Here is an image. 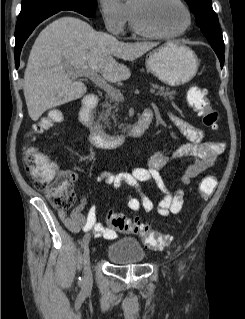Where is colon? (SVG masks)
<instances>
[{
  "label": "colon",
  "instance_id": "5ec220e1",
  "mask_svg": "<svg viewBox=\"0 0 245 319\" xmlns=\"http://www.w3.org/2000/svg\"><path fill=\"white\" fill-rule=\"evenodd\" d=\"M187 99L190 107L202 118L204 125L213 131H218L219 116L212 108L206 92L201 88L193 87L188 91ZM61 118L59 112H50L33 127V133L45 132ZM24 162L35 187L45 193L53 207L68 210L75 205L76 195L72 186L71 172L59 170L53 160L33 147L25 149ZM215 187V177L212 174L205 176L199 187L201 196L209 197ZM108 222L116 230L139 235L145 246L150 249H159L169 245V238L152 230L147 221L112 212L108 216Z\"/></svg>",
  "mask_w": 245,
  "mask_h": 319
}]
</instances>
